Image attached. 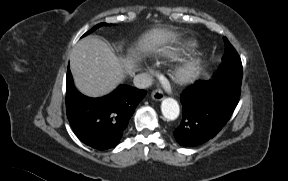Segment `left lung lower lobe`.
<instances>
[{"label": "left lung lower lobe", "instance_id": "1", "mask_svg": "<svg viewBox=\"0 0 288 181\" xmlns=\"http://www.w3.org/2000/svg\"><path fill=\"white\" fill-rule=\"evenodd\" d=\"M241 85L225 81H197L181 95L183 117L173 132L182 146H196L212 139L234 112Z\"/></svg>", "mask_w": 288, "mask_h": 181}]
</instances>
